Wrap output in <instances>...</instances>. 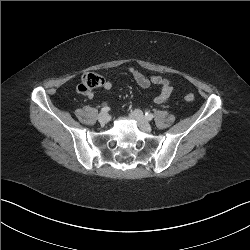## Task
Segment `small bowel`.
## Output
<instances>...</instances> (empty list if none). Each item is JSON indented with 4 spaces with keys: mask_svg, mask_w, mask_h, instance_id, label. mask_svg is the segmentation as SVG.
<instances>
[{
    "mask_svg": "<svg viewBox=\"0 0 250 250\" xmlns=\"http://www.w3.org/2000/svg\"><path fill=\"white\" fill-rule=\"evenodd\" d=\"M128 71L135 80V82L142 88H148L152 85L161 87L159 94L154 99L155 103L157 104H162L166 102L174 92L172 83L168 78L161 76H146L145 74L134 68H129ZM102 87L106 90H110L113 87V81L104 80L102 83ZM85 95L89 99H92L94 97V92L89 91L85 93Z\"/></svg>",
    "mask_w": 250,
    "mask_h": 250,
    "instance_id": "1",
    "label": "small bowel"
}]
</instances>
